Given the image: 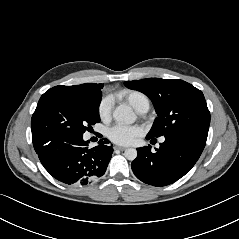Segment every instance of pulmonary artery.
<instances>
[{
    "instance_id": "obj_1",
    "label": "pulmonary artery",
    "mask_w": 239,
    "mask_h": 239,
    "mask_svg": "<svg viewBox=\"0 0 239 239\" xmlns=\"http://www.w3.org/2000/svg\"><path fill=\"white\" fill-rule=\"evenodd\" d=\"M150 103H146L143 105L139 113H146L149 110ZM161 142H164V138L161 139Z\"/></svg>"
}]
</instances>
